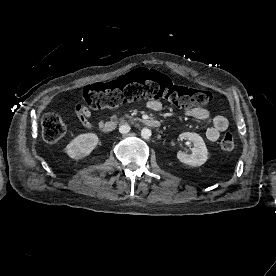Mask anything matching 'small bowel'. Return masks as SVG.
<instances>
[{"label":"small bowel","instance_id":"small-bowel-1","mask_svg":"<svg viewBox=\"0 0 276 276\" xmlns=\"http://www.w3.org/2000/svg\"><path fill=\"white\" fill-rule=\"evenodd\" d=\"M147 106L153 111H160L162 109V103L157 100L149 101ZM73 110L82 126L87 129H92L93 125L91 120L93 116L91 110L81 103H76ZM185 115L201 121H211V126L206 131V137L211 142L217 141L221 133L226 131L229 127V121L225 116H212L211 112L206 108H189L185 111Z\"/></svg>","mask_w":276,"mask_h":276}]
</instances>
